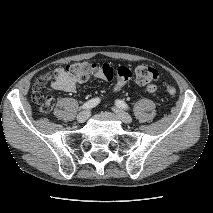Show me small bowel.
Masks as SVG:
<instances>
[{
	"label": "small bowel",
	"instance_id": "c3829d8e",
	"mask_svg": "<svg viewBox=\"0 0 213 213\" xmlns=\"http://www.w3.org/2000/svg\"><path fill=\"white\" fill-rule=\"evenodd\" d=\"M103 65L110 66L108 63H104ZM49 77L51 80L52 88L57 91L72 93L76 90L77 81L73 77H71L63 68L54 69L50 73ZM146 90L150 93H153L156 91V86L152 85L150 87H147Z\"/></svg>",
	"mask_w": 213,
	"mask_h": 213
}]
</instances>
